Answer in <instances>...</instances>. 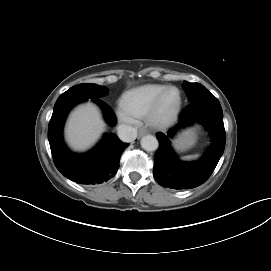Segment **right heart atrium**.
I'll return each instance as SVG.
<instances>
[{"mask_svg":"<svg viewBox=\"0 0 271 271\" xmlns=\"http://www.w3.org/2000/svg\"><path fill=\"white\" fill-rule=\"evenodd\" d=\"M117 115L119 120L126 125L135 124V118L132 117L129 113H127L122 107L117 109Z\"/></svg>","mask_w":271,"mask_h":271,"instance_id":"1","label":"right heart atrium"}]
</instances>
